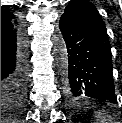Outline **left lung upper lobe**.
Instances as JSON below:
<instances>
[{
	"label": "left lung upper lobe",
	"mask_w": 122,
	"mask_h": 123,
	"mask_svg": "<svg viewBox=\"0 0 122 123\" xmlns=\"http://www.w3.org/2000/svg\"><path fill=\"white\" fill-rule=\"evenodd\" d=\"M64 14L108 39L104 21L96 7L89 1L71 0L65 8Z\"/></svg>",
	"instance_id": "1"
}]
</instances>
